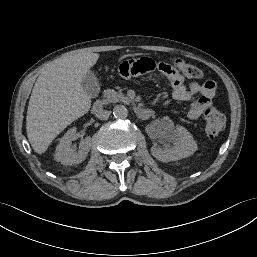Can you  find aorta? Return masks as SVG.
<instances>
[{
  "label": "aorta",
  "mask_w": 257,
  "mask_h": 257,
  "mask_svg": "<svg viewBox=\"0 0 257 257\" xmlns=\"http://www.w3.org/2000/svg\"><path fill=\"white\" fill-rule=\"evenodd\" d=\"M113 115L119 119H125L128 116V110L123 105H116L113 109Z\"/></svg>",
  "instance_id": "762f6f07"
}]
</instances>
